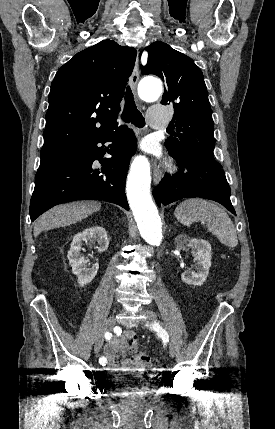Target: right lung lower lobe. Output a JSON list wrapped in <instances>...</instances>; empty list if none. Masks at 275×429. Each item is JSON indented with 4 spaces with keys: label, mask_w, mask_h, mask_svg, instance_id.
<instances>
[{
    "label": "right lung lower lobe",
    "mask_w": 275,
    "mask_h": 429,
    "mask_svg": "<svg viewBox=\"0 0 275 429\" xmlns=\"http://www.w3.org/2000/svg\"><path fill=\"white\" fill-rule=\"evenodd\" d=\"M106 142H112L109 148L97 146ZM135 151L134 133L124 126L41 158L30 201L31 220L57 204L75 200H103L129 210L125 182ZM106 152L112 157L103 158ZM95 160L101 168L93 166Z\"/></svg>",
    "instance_id": "right-lung-lower-lobe-1"
}]
</instances>
